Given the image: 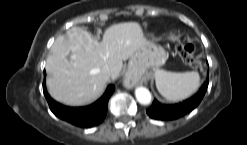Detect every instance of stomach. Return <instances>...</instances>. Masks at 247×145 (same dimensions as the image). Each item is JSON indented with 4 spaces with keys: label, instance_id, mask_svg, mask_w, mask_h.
<instances>
[{
    "label": "stomach",
    "instance_id": "stomach-1",
    "mask_svg": "<svg viewBox=\"0 0 247 145\" xmlns=\"http://www.w3.org/2000/svg\"><path fill=\"white\" fill-rule=\"evenodd\" d=\"M167 58L168 55L162 46L150 43L130 57L128 71L133 75H141L164 65Z\"/></svg>",
    "mask_w": 247,
    "mask_h": 145
}]
</instances>
